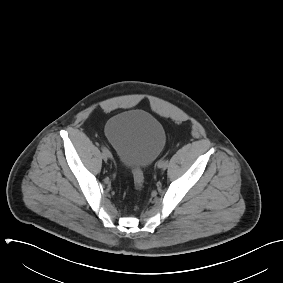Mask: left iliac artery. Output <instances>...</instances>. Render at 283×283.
I'll return each mask as SVG.
<instances>
[{
    "mask_svg": "<svg viewBox=\"0 0 283 283\" xmlns=\"http://www.w3.org/2000/svg\"><path fill=\"white\" fill-rule=\"evenodd\" d=\"M163 163H165V164L168 165V160H167V159H161V160L158 162V165L163 164Z\"/></svg>",
    "mask_w": 283,
    "mask_h": 283,
    "instance_id": "obj_1",
    "label": "left iliac artery"
}]
</instances>
